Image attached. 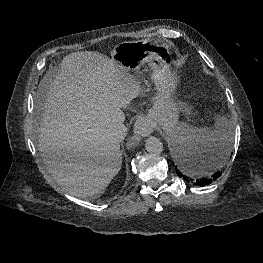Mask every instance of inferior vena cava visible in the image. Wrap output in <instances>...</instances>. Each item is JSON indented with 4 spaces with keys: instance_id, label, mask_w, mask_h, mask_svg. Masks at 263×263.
Returning <instances> with one entry per match:
<instances>
[{
    "instance_id": "602c4592",
    "label": "inferior vena cava",
    "mask_w": 263,
    "mask_h": 263,
    "mask_svg": "<svg viewBox=\"0 0 263 263\" xmlns=\"http://www.w3.org/2000/svg\"><path fill=\"white\" fill-rule=\"evenodd\" d=\"M126 134L127 127L122 123V121L112 123L110 136L113 140L121 142Z\"/></svg>"
}]
</instances>
